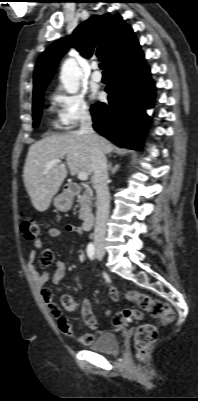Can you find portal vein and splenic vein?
<instances>
[{
	"label": "portal vein and splenic vein",
	"mask_w": 198,
	"mask_h": 401,
	"mask_svg": "<svg viewBox=\"0 0 198 401\" xmlns=\"http://www.w3.org/2000/svg\"><path fill=\"white\" fill-rule=\"evenodd\" d=\"M60 162H61V161L58 160V159L52 160V161L46 166V168H45V170H44V173H48L49 170L52 168L53 165L59 164ZM78 178H79V180H81V181H85V180L88 179V174L85 173V172H79V173H78Z\"/></svg>",
	"instance_id": "portal-vein-and-splenic-vein-1"
}]
</instances>
